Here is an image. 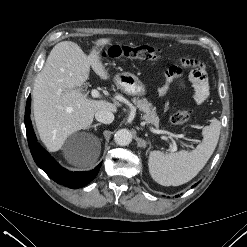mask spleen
<instances>
[{"label":"spleen","instance_id":"1","mask_svg":"<svg viewBox=\"0 0 247 247\" xmlns=\"http://www.w3.org/2000/svg\"><path fill=\"white\" fill-rule=\"evenodd\" d=\"M221 123L211 122L203 129V140L192 151L182 150L164 154L152 151L148 158L151 177L163 186H179L192 180L206 165L213 154L220 135Z\"/></svg>","mask_w":247,"mask_h":247}]
</instances>
